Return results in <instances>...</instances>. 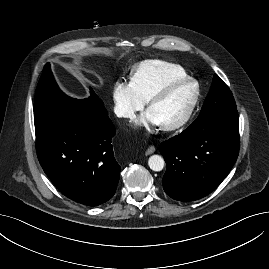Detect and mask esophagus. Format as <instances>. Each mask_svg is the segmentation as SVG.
Returning <instances> with one entry per match:
<instances>
[{"mask_svg": "<svg viewBox=\"0 0 269 269\" xmlns=\"http://www.w3.org/2000/svg\"><path fill=\"white\" fill-rule=\"evenodd\" d=\"M155 152V147L154 146H150L147 150H146V155H150L152 153Z\"/></svg>", "mask_w": 269, "mask_h": 269, "instance_id": "esophagus-1", "label": "esophagus"}]
</instances>
